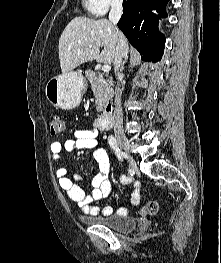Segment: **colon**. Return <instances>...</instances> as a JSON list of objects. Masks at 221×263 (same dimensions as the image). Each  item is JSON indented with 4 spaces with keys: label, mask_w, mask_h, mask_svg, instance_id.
Wrapping results in <instances>:
<instances>
[{
    "label": "colon",
    "mask_w": 221,
    "mask_h": 263,
    "mask_svg": "<svg viewBox=\"0 0 221 263\" xmlns=\"http://www.w3.org/2000/svg\"><path fill=\"white\" fill-rule=\"evenodd\" d=\"M64 132V122L60 115H53L50 120V133L52 136H58ZM158 211V203L150 200L142 209L141 214L153 215Z\"/></svg>",
    "instance_id": "1"
}]
</instances>
